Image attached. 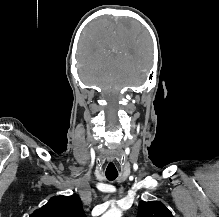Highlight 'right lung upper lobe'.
Masks as SVG:
<instances>
[{"label": "right lung upper lobe", "instance_id": "1", "mask_svg": "<svg viewBox=\"0 0 219 217\" xmlns=\"http://www.w3.org/2000/svg\"><path fill=\"white\" fill-rule=\"evenodd\" d=\"M30 217H86L78 195L55 196Z\"/></svg>", "mask_w": 219, "mask_h": 217}]
</instances>
